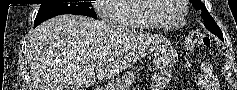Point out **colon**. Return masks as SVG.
Here are the masks:
<instances>
[{"instance_id": "5ec220e1", "label": "colon", "mask_w": 237, "mask_h": 90, "mask_svg": "<svg viewBox=\"0 0 237 90\" xmlns=\"http://www.w3.org/2000/svg\"><path fill=\"white\" fill-rule=\"evenodd\" d=\"M187 44L189 46H206L209 47L211 45V39L207 35L201 32H194L187 39Z\"/></svg>"}]
</instances>
